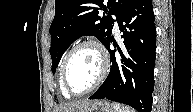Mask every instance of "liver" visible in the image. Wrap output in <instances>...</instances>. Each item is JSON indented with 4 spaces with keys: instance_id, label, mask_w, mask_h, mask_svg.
Segmentation results:
<instances>
[{
    "instance_id": "liver-1",
    "label": "liver",
    "mask_w": 193,
    "mask_h": 112,
    "mask_svg": "<svg viewBox=\"0 0 193 112\" xmlns=\"http://www.w3.org/2000/svg\"><path fill=\"white\" fill-rule=\"evenodd\" d=\"M94 101L90 100H82V101H75L71 103H67L62 105L59 108L60 112H79L87 107H89Z\"/></svg>"
}]
</instances>
